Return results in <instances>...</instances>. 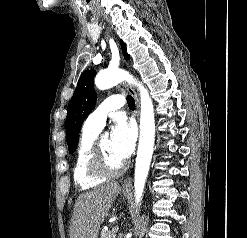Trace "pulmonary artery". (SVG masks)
<instances>
[{
	"label": "pulmonary artery",
	"instance_id": "obj_1",
	"mask_svg": "<svg viewBox=\"0 0 247 238\" xmlns=\"http://www.w3.org/2000/svg\"><path fill=\"white\" fill-rule=\"evenodd\" d=\"M125 100L121 95H112L105 99L85 120L84 127L101 131L108 114L121 108Z\"/></svg>",
	"mask_w": 247,
	"mask_h": 238
}]
</instances>
